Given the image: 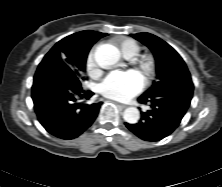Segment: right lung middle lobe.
I'll list each match as a JSON object with an SVG mask.
<instances>
[{
    "mask_svg": "<svg viewBox=\"0 0 222 187\" xmlns=\"http://www.w3.org/2000/svg\"><path fill=\"white\" fill-rule=\"evenodd\" d=\"M89 47H81L79 49H72L70 51H62L60 53L49 52L45 57L47 59L56 60L61 59L66 65L69 66V68L72 70V72L75 74V76L80 80L81 73L85 71L86 69V58L88 55ZM42 60L41 63H43L45 60ZM40 63V64H41ZM84 80V78H81Z\"/></svg>",
    "mask_w": 222,
    "mask_h": 187,
    "instance_id": "dd1d6c3e",
    "label": "right lung middle lobe"
}]
</instances>
